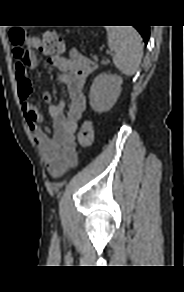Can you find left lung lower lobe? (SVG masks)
Returning <instances> with one entry per match:
<instances>
[{
  "instance_id": "0a47b994",
  "label": "left lung lower lobe",
  "mask_w": 184,
  "mask_h": 292,
  "mask_svg": "<svg viewBox=\"0 0 184 292\" xmlns=\"http://www.w3.org/2000/svg\"><path fill=\"white\" fill-rule=\"evenodd\" d=\"M139 33L141 34V36L144 39L145 44H147L148 39H149V35H150V29L149 26H145V25H136L134 26Z\"/></svg>"
}]
</instances>
